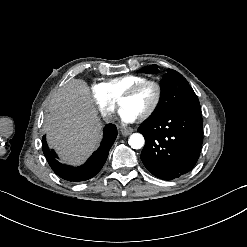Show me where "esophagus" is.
<instances>
[{"label": "esophagus", "mask_w": 247, "mask_h": 247, "mask_svg": "<svg viewBox=\"0 0 247 247\" xmlns=\"http://www.w3.org/2000/svg\"><path fill=\"white\" fill-rule=\"evenodd\" d=\"M120 131L123 136H129L130 134H132L134 129L130 127H121Z\"/></svg>", "instance_id": "esophagus-1"}]
</instances>
